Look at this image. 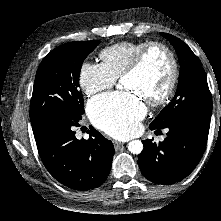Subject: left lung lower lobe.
Masks as SVG:
<instances>
[{
    "instance_id": "obj_1",
    "label": "left lung lower lobe",
    "mask_w": 221,
    "mask_h": 221,
    "mask_svg": "<svg viewBox=\"0 0 221 221\" xmlns=\"http://www.w3.org/2000/svg\"><path fill=\"white\" fill-rule=\"evenodd\" d=\"M209 127L210 118L186 117L165 127L168 133L163 142L143 141L144 149L138 162L144 177L169 185L188 176L204 153ZM150 129L159 128L150 125Z\"/></svg>"
}]
</instances>
